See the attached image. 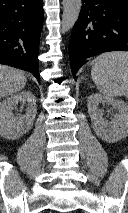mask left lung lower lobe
<instances>
[{
    "label": "left lung lower lobe",
    "mask_w": 128,
    "mask_h": 213,
    "mask_svg": "<svg viewBox=\"0 0 128 213\" xmlns=\"http://www.w3.org/2000/svg\"><path fill=\"white\" fill-rule=\"evenodd\" d=\"M117 50L128 51V0H82L69 45L73 77L85 59Z\"/></svg>",
    "instance_id": "obj_1"
}]
</instances>
